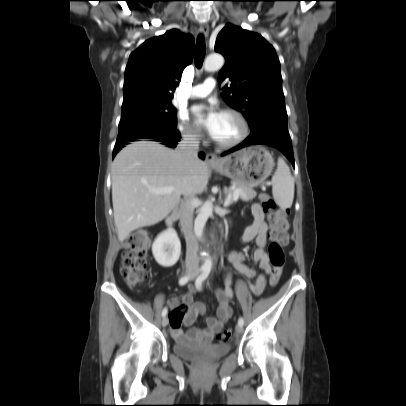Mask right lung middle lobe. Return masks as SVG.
Here are the masks:
<instances>
[{
  "instance_id": "1",
  "label": "right lung middle lobe",
  "mask_w": 406,
  "mask_h": 406,
  "mask_svg": "<svg viewBox=\"0 0 406 406\" xmlns=\"http://www.w3.org/2000/svg\"><path fill=\"white\" fill-rule=\"evenodd\" d=\"M176 112L171 103L142 102L122 107L117 142L177 131Z\"/></svg>"
}]
</instances>
